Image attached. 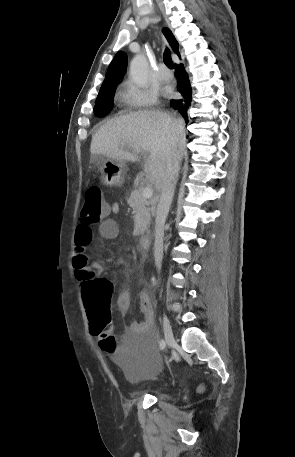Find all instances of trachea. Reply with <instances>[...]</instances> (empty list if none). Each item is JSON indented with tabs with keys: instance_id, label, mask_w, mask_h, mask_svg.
<instances>
[{
	"instance_id": "obj_1",
	"label": "trachea",
	"mask_w": 295,
	"mask_h": 457,
	"mask_svg": "<svg viewBox=\"0 0 295 457\" xmlns=\"http://www.w3.org/2000/svg\"><path fill=\"white\" fill-rule=\"evenodd\" d=\"M163 60H164L165 65L168 68H170V69L174 68V65H173V62H172V59H171V52H170V50L168 48H166L165 51H164Z\"/></svg>"
}]
</instances>
